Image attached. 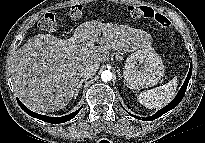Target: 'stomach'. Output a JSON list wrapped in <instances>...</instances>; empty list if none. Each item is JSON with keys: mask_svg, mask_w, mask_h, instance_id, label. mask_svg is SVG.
<instances>
[{"mask_svg": "<svg viewBox=\"0 0 205 143\" xmlns=\"http://www.w3.org/2000/svg\"><path fill=\"white\" fill-rule=\"evenodd\" d=\"M164 70L161 57L152 47L140 48L127 58L123 78L127 87L139 90L158 84Z\"/></svg>", "mask_w": 205, "mask_h": 143, "instance_id": "0dacf381", "label": "stomach"}]
</instances>
